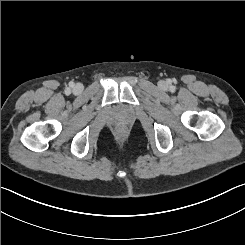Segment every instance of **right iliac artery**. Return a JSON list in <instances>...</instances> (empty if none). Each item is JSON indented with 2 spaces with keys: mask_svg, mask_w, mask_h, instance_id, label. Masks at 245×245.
<instances>
[{
  "mask_svg": "<svg viewBox=\"0 0 245 245\" xmlns=\"http://www.w3.org/2000/svg\"><path fill=\"white\" fill-rule=\"evenodd\" d=\"M66 93H70V89L69 88L67 89Z\"/></svg>",
  "mask_w": 245,
  "mask_h": 245,
  "instance_id": "right-iliac-artery-1",
  "label": "right iliac artery"
}]
</instances>
